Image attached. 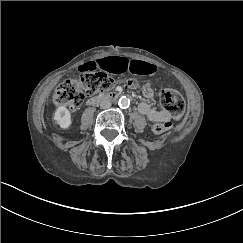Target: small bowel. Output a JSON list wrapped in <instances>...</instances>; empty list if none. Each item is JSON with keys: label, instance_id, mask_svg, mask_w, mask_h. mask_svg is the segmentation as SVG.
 <instances>
[{"label": "small bowel", "instance_id": "1", "mask_svg": "<svg viewBox=\"0 0 243 243\" xmlns=\"http://www.w3.org/2000/svg\"><path fill=\"white\" fill-rule=\"evenodd\" d=\"M79 71L93 72L106 71L113 74L130 72L137 75H150L156 72L155 65L136 59H129L121 56H111L86 62L79 67ZM143 96L146 101L139 104V111L152 122H159L166 119L162 111L154 109L149 101L154 99V92L149 86L143 88Z\"/></svg>", "mask_w": 243, "mask_h": 243}]
</instances>
